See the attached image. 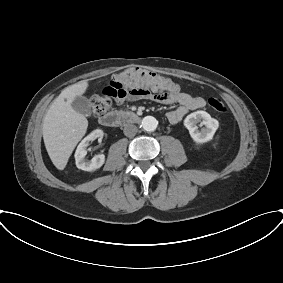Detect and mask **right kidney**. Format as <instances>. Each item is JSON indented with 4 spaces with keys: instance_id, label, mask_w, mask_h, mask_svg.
Returning <instances> with one entry per match:
<instances>
[{
    "instance_id": "1",
    "label": "right kidney",
    "mask_w": 283,
    "mask_h": 283,
    "mask_svg": "<svg viewBox=\"0 0 283 283\" xmlns=\"http://www.w3.org/2000/svg\"><path fill=\"white\" fill-rule=\"evenodd\" d=\"M103 131L100 129H96L91 132L88 136H86L81 143L78 145L75 152V161L78 169L84 171H94L99 169L105 162V155L99 154L95 155L91 160H86L85 156L87 155V147L90 141H93L97 138H103Z\"/></svg>"
}]
</instances>
